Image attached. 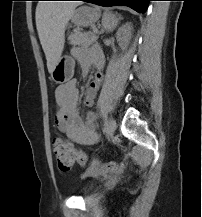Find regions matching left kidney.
Here are the masks:
<instances>
[{"label":"left kidney","instance_id":"5707ae66","mask_svg":"<svg viewBox=\"0 0 202 217\" xmlns=\"http://www.w3.org/2000/svg\"><path fill=\"white\" fill-rule=\"evenodd\" d=\"M126 25H128V24H126ZM117 38H118V41L120 40V34L118 33V35H117Z\"/></svg>","mask_w":202,"mask_h":217}]
</instances>
